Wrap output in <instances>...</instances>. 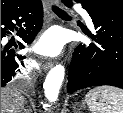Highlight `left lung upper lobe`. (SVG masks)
<instances>
[{
  "instance_id": "1",
  "label": "left lung upper lobe",
  "mask_w": 123,
  "mask_h": 113,
  "mask_svg": "<svg viewBox=\"0 0 123 113\" xmlns=\"http://www.w3.org/2000/svg\"><path fill=\"white\" fill-rule=\"evenodd\" d=\"M76 2H82L87 0H75ZM107 9L116 10L123 14V0H93Z\"/></svg>"
}]
</instances>
